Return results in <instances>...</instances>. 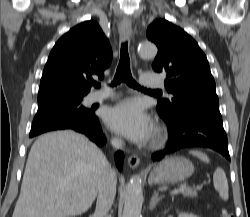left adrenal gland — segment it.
I'll use <instances>...</instances> for the list:
<instances>
[{
  "instance_id": "left-adrenal-gland-1",
  "label": "left adrenal gland",
  "mask_w": 250,
  "mask_h": 217,
  "mask_svg": "<svg viewBox=\"0 0 250 217\" xmlns=\"http://www.w3.org/2000/svg\"><path fill=\"white\" fill-rule=\"evenodd\" d=\"M164 196H158V192L155 190L153 196L150 201V210L156 207V204L163 198Z\"/></svg>"
}]
</instances>
